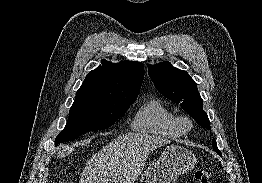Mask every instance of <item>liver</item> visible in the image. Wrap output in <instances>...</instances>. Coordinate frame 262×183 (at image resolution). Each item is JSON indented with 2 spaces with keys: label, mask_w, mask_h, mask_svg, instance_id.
<instances>
[{
  "label": "liver",
  "mask_w": 262,
  "mask_h": 183,
  "mask_svg": "<svg viewBox=\"0 0 262 183\" xmlns=\"http://www.w3.org/2000/svg\"><path fill=\"white\" fill-rule=\"evenodd\" d=\"M169 142L144 133L120 135L86 162L80 183H134L150 152Z\"/></svg>",
  "instance_id": "obj_1"
}]
</instances>
